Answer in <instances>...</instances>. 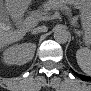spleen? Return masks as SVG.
<instances>
[{
  "label": "spleen",
  "mask_w": 91,
  "mask_h": 91,
  "mask_svg": "<svg viewBox=\"0 0 91 91\" xmlns=\"http://www.w3.org/2000/svg\"><path fill=\"white\" fill-rule=\"evenodd\" d=\"M76 59L81 70L87 74L91 72V50L80 48L76 53Z\"/></svg>",
  "instance_id": "obj_1"
}]
</instances>
